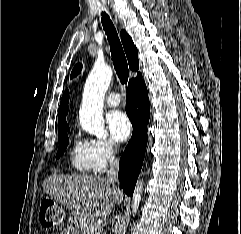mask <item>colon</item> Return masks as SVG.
<instances>
[{
    "label": "colon",
    "instance_id": "obj_1",
    "mask_svg": "<svg viewBox=\"0 0 241 234\" xmlns=\"http://www.w3.org/2000/svg\"><path fill=\"white\" fill-rule=\"evenodd\" d=\"M62 212L52 199H44L41 203L39 220L45 227H55L62 221Z\"/></svg>",
    "mask_w": 241,
    "mask_h": 234
}]
</instances>
